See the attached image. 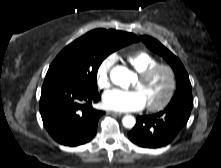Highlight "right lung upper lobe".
Segmentation results:
<instances>
[{"label": "right lung upper lobe", "instance_id": "obj_1", "mask_svg": "<svg viewBox=\"0 0 221 168\" xmlns=\"http://www.w3.org/2000/svg\"><path fill=\"white\" fill-rule=\"evenodd\" d=\"M97 31L105 32L109 35H115V36H123L132 42H137L139 41L138 37L135 36L132 33H127V32H122V31H116V30H105V29H97Z\"/></svg>", "mask_w": 221, "mask_h": 168}]
</instances>
